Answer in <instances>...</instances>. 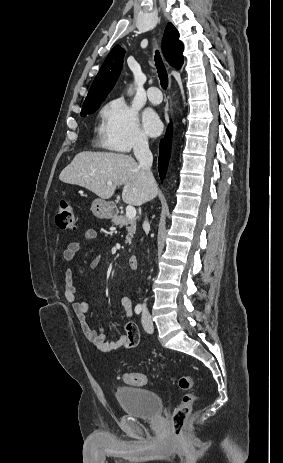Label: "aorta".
I'll list each match as a JSON object with an SVG mask.
<instances>
[{
	"label": "aorta",
	"mask_w": 283,
	"mask_h": 463,
	"mask_svg": "<svg viewBox=\"0 0 283 463\" xmlns=\"http://www.w3.org/2000/svg\"><path fill=\"white\" fill-rule=\"evenodd\" d=\"M128 93L132 94V89L131 88H129Z\"/></svg>",
	"instance_id": "762f6f07"
}]
</instances>
